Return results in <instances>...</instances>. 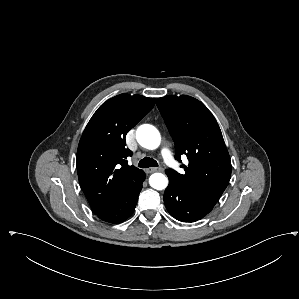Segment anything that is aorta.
Returning <instances> with one entry per match:
<instances>
[{
    "label": "aorta",
    "mask_w": 299,
    "mask_h": 299,
    "mask_svg": "<svg viewBox=\"0 0 299 299\" xmlns=\"http://www.w3.org/2000/svg\"><path fill=\"white\" fill-rule=\"evenodd\" d=\"M136 139L142 147L149 150L158 148L161 142L159 131L150 124H143L138 127ZM149 184L156 190H163L168 185V178L162 173H154L149 178Z\"/></svg>",
    "instance_id": "762f6f07"
}]
</instances>
